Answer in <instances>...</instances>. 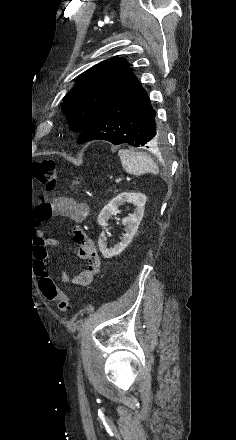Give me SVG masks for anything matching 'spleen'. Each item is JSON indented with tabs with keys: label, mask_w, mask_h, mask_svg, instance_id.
<instances>
[{
	"label": "spleen",
	"mask_w": 236,
	"mask_h": 440,
	"mask_svg": "<svg viewBox=\"0 0 236 440\" xmlns=\"http://www.w3.org/2000/svg\"><path fill=\"white\" fill-rule=\"evenodd\" d=\"M118 155L123 168L129 174L140 176L148 172L154 174L159 172L158 166L146 153L136 152L131 149H120Z\"/></svg>",
	"instance_id": "3e777b00"
}]
</instances>
